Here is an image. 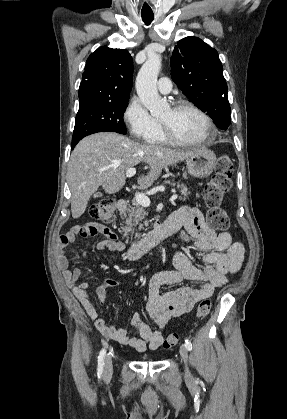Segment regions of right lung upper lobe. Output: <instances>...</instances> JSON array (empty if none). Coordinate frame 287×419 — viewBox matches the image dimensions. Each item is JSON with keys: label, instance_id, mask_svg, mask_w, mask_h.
Here are the masks:
<instances>
[{"label": "right lung upper lobe", "instance_id": "obj_1", "mask_svg": "<svg viewBox=\"0 0 287 419\" xmlns=\"http://www.w3.org/2000/svg\"><path fill=\"white\" fill-rule=\"evenodd\" d=\"M132 76L133 61L127 50L99 47L86 62L79 87V110L128 100Z\"/></svg>", "mask_w": 287, "mask_h": 419}]
</instances>
